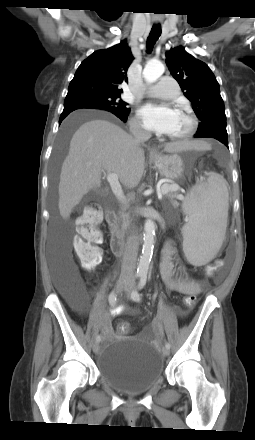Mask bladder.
<instances>
[{"instance_id": "1", "label": "bladder", "mask_w": 255, "mask_h": 440, "mask_svg": "<svg viewBox=\"0 0 255 440\" xmlns=\"http://www.w3.org/2000/svg\"><path fill=\"white\" fill-rule=\"evenodd\" d=\"M98 372L110 388L141 394L162 378L164 360L153 345L137 337L109 339L99 356Z\"/></svg>"}]
</instances>
